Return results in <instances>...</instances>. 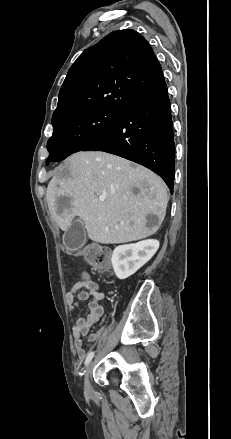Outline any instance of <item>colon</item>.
Wrapping results in <instances>:
<instances>
[{
	"label": "colon",
	"mask_w": 231,
	"mask_h": 439,
	"mask_svg": "<svg viewBox=\"0 0 231 439\" xmlns=\"http://www.w3.org/2000/svg\"><path fill=\"white\" fill-rule=\"evenodd\" d=\"M81 253L88 264L101 273H106L110 268L109 251L96 244H89L82 248Z\"/></svg>",
	"instance_id": "colon-1"
}]
</instances>
